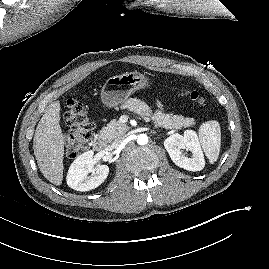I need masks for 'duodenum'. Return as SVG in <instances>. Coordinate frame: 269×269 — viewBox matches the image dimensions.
I'll list each match as a JSON object with an SVG mask.
<instances>
[{"instance_id": "obj_1", "label": "duodenum", "mask_w": 269, "mask_h": 269, "mask_svg": "<svg viewBox=\"0 0 269 269\" xmlns=\"http://www.w3.org/2000/svg\"><path fill=\"white\" fill-rule=\"evenodd\" d=\"M107 147V141L104 137H98L93 142V148L98 151H104Z\"/></svg>"}]
</instances>
